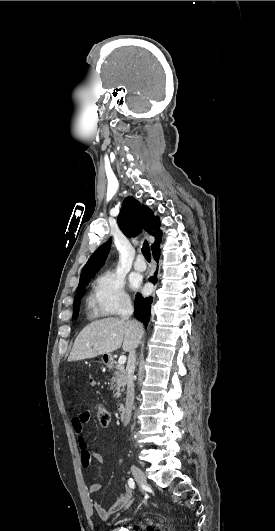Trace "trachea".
Returning a JSON list of instances; mask_svg holds the SVG:
<instances>
[{"mask_svg":"<svg viewBox=\"0 0 275 531\" xmlns=\"http://www.w3.org/2000/svg\"><path fill=\"white\" fill-rule=\"evenodd\" d=\"M142 253H143V256L145 257L146 260H148V261L151 260L150 248H149V244L147 243L146 240L143 243Z\"/></svg>","mask_w":275,"mask_h":531,"instance_id":"trachea-1","label":"trachea"}]
</instances>
